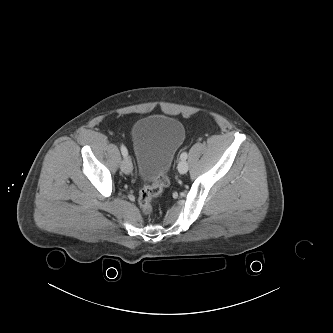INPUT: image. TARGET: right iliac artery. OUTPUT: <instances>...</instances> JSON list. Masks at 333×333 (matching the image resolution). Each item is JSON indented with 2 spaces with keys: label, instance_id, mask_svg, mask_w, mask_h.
I'll use <instances>...</instances> for the list:
<instances>
[{
  "label": "right iliac artery",
  "instance_id": "82829eb1",
  "mask_svg": "<svg viewBox=\"0 0 333 333\" xmlns=\"http://www.w3.org/2000/svg\"><path fill=\"white\" fill-rule=\"evenodd\" d=\"M120 149H121L122 155L124 157H127L128 156V151H127L126 147L124 145H121Z\"/></svg>",
  "mask_w": 333,
  "mask_h": 333
}]
</instances>
